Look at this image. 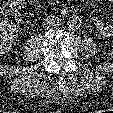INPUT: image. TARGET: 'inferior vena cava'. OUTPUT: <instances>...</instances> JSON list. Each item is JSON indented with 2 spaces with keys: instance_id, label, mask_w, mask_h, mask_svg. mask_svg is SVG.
Listing matches in <instances>:
<instances>
[{
  "instance_id": "602c4592",
  "label": "inferior vena cava",
  "mask_w": 113,
  "mask_h": 113,
  "mask_svg": "<svg viewBox=\"0 0 113 113\" xmlns=\"http://www.w3.org/2000/svg\"><path fill=\"white\" fill-rule=\"evenodd\" d=\"M60 25H61L60 18L54 15L47 16L43 21V27L45 29H56Z\"/></svg>"
}]
</instances>
